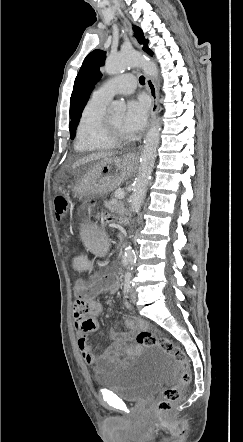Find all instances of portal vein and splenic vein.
I'll return each mask as SVG.
<instances>
[{
  "label": "portal vein and splenic vein",
  "instance_id": "portal-vein-and-splenic-vein-1",
  "mask_svg": "<svg viewBox=\"0 0 243 442\" xmlns=\"http://www.w3.org/2000/svg\"><path fill=\"white\" fill-rule=\"evenodd\" d=\"M125 196L124 191L122 189H118L115 191V198L116 199H123Z\"/></svg>",
  "mask_w": 243,
  "mask_h": 442
}]
</instances>
